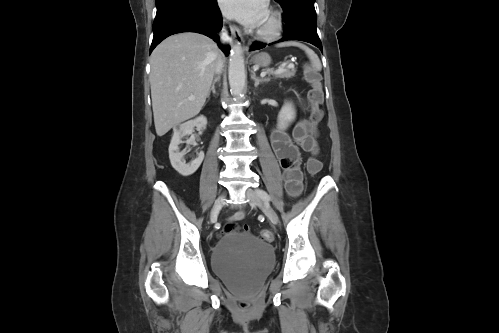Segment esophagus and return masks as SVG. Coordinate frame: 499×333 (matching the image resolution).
<instances>
[{
  "instance_id": "1",
  "label": "esophagus",
  "mask_w": 499,
  "mask_h": 333,
  "mask_svg": "<svg viewBox=\"0 0 499 333\" xmlns=\"http://www.w3.org/2000/svg\"><path fill=\"white\" fill-rule=\"evenodd\" d=\"M232 35L238 43H242L244 41L243 35H242L240 29L236 26L232 27ZM247 50H248V48L244 47V51H247Z\"/></svg>"
}]
</instances>
